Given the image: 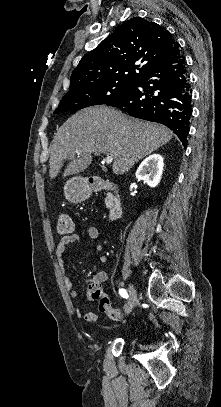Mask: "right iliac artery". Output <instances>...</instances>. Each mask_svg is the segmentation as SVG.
I'll return each instance as SVG.
<instances>
[{"instance_id":"82829eb1","label":"right iliac artery","mask_w":221,"mask_h":407,"mask_svg":"<svg viewBox=\"0 0 221 407\" xmlns=\"http://www.w3.org/2000/svg\"><path fill=\"white\" fill-rule=\"evenodd\" d=\"M119 293H120V295H121L122 297H124V298H128V297H129V295H128V293H127V291H126L125 289H120V290H119Z\"/></svg>"}]
</instances>
